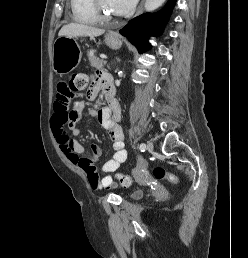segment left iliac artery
I'll list each match as a JSON object with an SVG mask.
<instances>
[{
  "instance_id": "obj_1",
  "label": "left iliac artery",
  "mask_w": 248,
  "mask_h": 258,
  "mask_svg": "<svg viewBox=\"0 0 248 258\" xmlns=\"http://www.w3.org/2000/svg\"><path fill=\"white\" fill-rule=\"evenodd\" d=\"M139 149L141 152H144L145 149H146V144L145 143H141L140 146H139Z\"/></svg>"
}]
</instances>
